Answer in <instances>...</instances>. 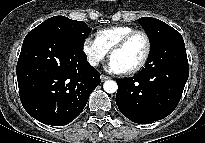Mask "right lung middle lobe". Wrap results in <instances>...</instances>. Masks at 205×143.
Listing matches in <instances>:
<instances>
[{"instance_id": "right-lung-middle-lobe-1", "label": "right lung middle lobe", "mask_w": 205, "mask_h": 143, "mask_svg": "<svg viewBox=\"0 0 205 143\" xmlns=\"http://www.w3.org/2000/svg\"><path fill=\"white\" fill-rule=\"evenodd\" d=\"M33 31H45L57 35L77 48L83 49L85 38L91 28L83 21L71 20L65 16H54L37 27Z\"/></svg>"}]
</instances>
